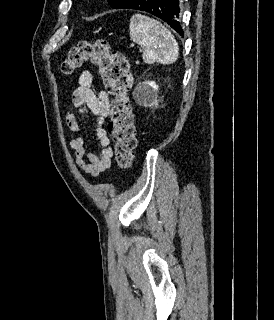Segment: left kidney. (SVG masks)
<instances>
[{"label": "left kidney", "instance_id": "1", "mask_svg": "<svg viewBox=\"0 0 274 320\" xmlns=\"http://www.w3.org/2000/svg\"><path fill=\"white\" fill-rule=\"evenodd\" d=\"M155 82H141L133 92V96L140 106H158L157 90Z\"/></svg>", "mask_w": 274, "mask_h": 320}]
</instances>
